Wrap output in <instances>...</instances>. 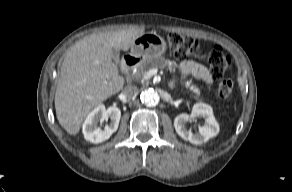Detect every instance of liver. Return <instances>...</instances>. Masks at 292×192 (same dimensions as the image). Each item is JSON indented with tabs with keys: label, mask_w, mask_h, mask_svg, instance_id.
<instances>
[{
	"label": "liver",
	"mask_w": 292,
	"mask_h": 192,
	"mask_svg": "<svg viewBox=\"0 0 292 192\" xmlns=\"http://www.w3.org/2000/svg\"><path fill=\"white\" fill-rule=\"evenodd\" d=\"M144 28L91 34L65 53L55 92L56 116L70 135H76L90 111L118 93L124 85L112 49L127 51Z\"/></svg>",
	"instance_id": "liver-1"
}]
</instances>
